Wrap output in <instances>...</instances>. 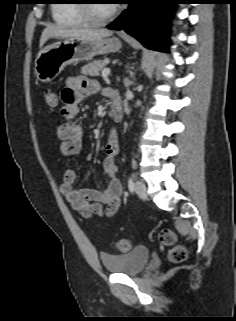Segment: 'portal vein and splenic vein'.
Wrapping results in <instances>:
<instances>
[{"mask_svg": "<svg viewBox=\"0 0 236 321\" xmlns=\"http://www.w3.org/2000/svg\"><path fill=\"white\" fill-rule=\"evenodd\" d=\"M111 75V70L106 68L104 70H102V78L103 79H107L109 76Z\"/></svg>", "mask_w": 236, "mask_h": 321, "instance_id": "18ae733b", "label": "portal vein and splenic vein"}]
</instances>
